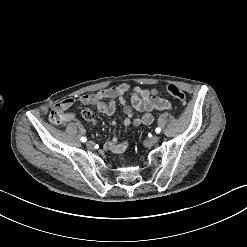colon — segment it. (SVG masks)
Wrapping results in <instances>:
<instances>
[{"mask_svg": "<svg viewBox=\"0 0 247 247\" xmlns=\"http://www.w3.org/2000/svg\"><path fill=\"white\" fill-rule=\"evenodd\" d=\"M165 90L173 98L179 100L183 104H186L188 97L185 91L179 88L177 85L170 83L165 86ZM49 119L54 125H60L66 119H72V114H65L57 110H53L49 114Z\"/></svg>", "mask_w": 247, "mask_h": 247, "instance_id": "1", "label": "colon"}]
</instances>
